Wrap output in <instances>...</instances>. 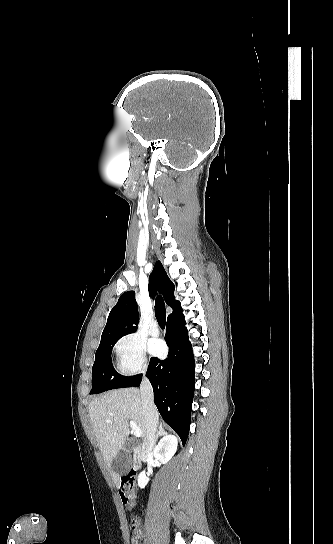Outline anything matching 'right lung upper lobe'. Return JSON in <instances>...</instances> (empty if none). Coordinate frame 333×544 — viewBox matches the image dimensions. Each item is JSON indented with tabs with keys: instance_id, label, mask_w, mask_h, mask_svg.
<instances>
[{
	"instance_id": "right-lung-upper-lobe-1",
	"label": "right lung upper lobe",
	"mask_w": 333,
	"mask_h": 544,
	"mask_svg": "<svg viewBox=\"0 0 333 544\" xmlns=\"http://www.w3.org/2000/svg\"><path fill=\"white\" fill-rule=\"evenodd\" d=\"M156 290L162 292L167 305L172 307L173 312L169 316L182 313L183 310L180 302L175 300V286L167 276L160 261L155 263L149 277L150 295L154 297ZM135 325H138V307L135 300V292L128 291L119 298L115 307L110 311L101 339L133 333L137 329Z\"/></svg>"
}]
</instances>
